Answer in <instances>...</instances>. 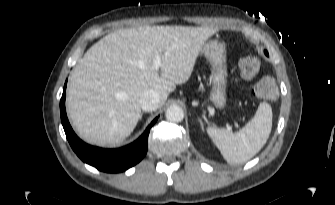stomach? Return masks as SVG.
<instances>
[{"mask_svg": "<svg viewBox=\"0 0 335 205\" xmlns=\"http://www.w3.org/2000/svg\"><path fill=\"white\" fill-rule=\"evenodd\" d=\"M201 53L211 64L210 82L212 89L210 91V101L219 109L226 104V82H227V65H226V46L218 40H209L205 42Z\"/></svg>", "mask_w": 335, "mask_h": 205, "instance_id": "1", "label": "stomach"}]
</instances>
